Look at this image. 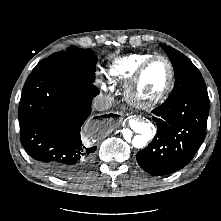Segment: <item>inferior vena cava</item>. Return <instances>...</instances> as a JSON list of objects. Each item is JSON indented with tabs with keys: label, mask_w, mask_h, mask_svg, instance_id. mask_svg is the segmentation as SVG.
<instances>
[{
	"label": "inferior vena cava",
	"mask_w": 221,
	"mask_h": 221,
	"mask_svg": "<svg viewBox=\"0 0 221 221\" xmlns=\"http://www.w3.org/2000/svg\"><path fill=\"white\" fill-rule=\"evenodd\" d=\"M113 98L110 95L99 94L93 102V107L98 111L109 109L112 106Z\"/></svg>",
	"instance_id": "inferior-vena-cava-1"
}]
</instances>
